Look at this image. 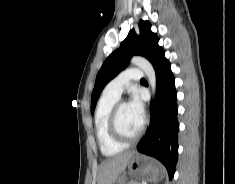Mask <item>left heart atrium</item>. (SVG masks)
Returning <instances> with one entry per match:
<instances>
[{
    "label": "left heart atrium",
    "mask_w": 235,
    "mask_h": 184,
    "mask_svg": "<svg viewBox=\"0 0 235 184\" xmlns=\"http://www.w3.org/2000/svg\"><path fill=\"white\" fill-rule=\"evenodd\" d=\"M128 107L131 110V112L138 118L143 119L144 118V106L141 102L140 98L136 93H134L128 102Z\"/></svg>",
    "instance_id": "1"
}]
</instances>
